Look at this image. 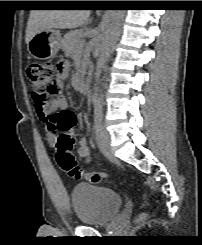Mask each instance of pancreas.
<instances>
[{"instance_id":"cf45deb5","label":"pancreas","mask_w":202,"mask_h":245,"mask_svg":"<svg viewBox=\"0 0 202 245\" xmlns=\"http://www.w3.org/2000/svg\"><path fill=\"white\" fill-rule=\"evenodd\" d=\"M83 46V38L80 31L75 30L71 31L64 36V39L61 42L62 50L65 51L66 55L75 57L77 52Z\"/></svg>"}]
</instances>
